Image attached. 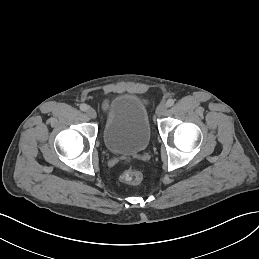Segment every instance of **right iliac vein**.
Returning <instances> with one entry per match:
<instances>
[{
	"mask_svg": "<svg viewBox=\"0 0 259 259\" xmlns=\"http://www.w3.org/2000/svg\"><path fill=\"white\" fill-rule=\"evenodd\" d=\"M86 114H87L88 117H90L91 119H95L96 116H97L96 111H95L93 108H91V107L87 108Z\"/></svg>",
	"mask_w": 259,
	"mask_h": 259,
	"instance_id": "63e3f726",
	"label": "right iliac vein"
}]
</instances>
